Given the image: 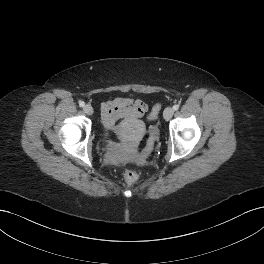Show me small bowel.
Listing matches in <instances>:
<instances>
[{
  "label": "small bowel",
  "instance_id": "obj_1",
  "mask_svg": "<svg viewBox=\"0 0 264 264\" xmlns=\"http://www.w3.org/2000/svg\"><path fill=\"white\" fill-rule=\"evenodd\" d=\"M100 109L102 123L108 128L118 129L120 120H123L125 125L142 118L148 111V105L143 100L117 97L103 102Z\"/></svg>",
  "mask_w": 264,
  "mask_h": 264
}]
</instances>
